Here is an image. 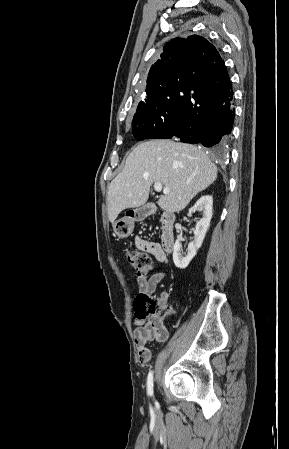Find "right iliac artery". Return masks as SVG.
<instances>
[{
  "label": "right iliac artery",
  "instance_id": "right-iliac-artery-1",
  "mask_svg": "<svg viewBox=\"0 0 289 449\" xmlns=\"http://www.w3.org/2000/svg\"><path fill=\"white\" fill-rule=\"evenodd\" d=\"M147 393L149 396L153 395V372L150 371L147 378Z\"/></svg>",
  "mask_w": 289,
  "mask_h": 449
}]
</instances>
